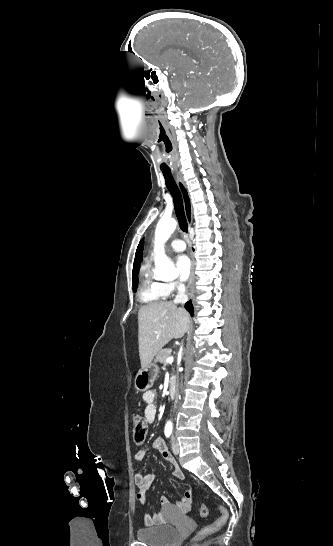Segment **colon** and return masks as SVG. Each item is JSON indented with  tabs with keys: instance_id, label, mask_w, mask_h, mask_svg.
Wrapping results in <instances>:
<instances>
[{
	"instance_id": "obj_1",
	"label": "colon",
	"mask_w": 333,
	"mask_h": 546,
	"mask_svg": "<svg viewBox=\"0 0 333 546\" xmlns=\"http://www.w3.org/2000/svg\"><path fill=\"white\" fill-rule=\"evenodd\" d=\"M132 435L133 440L136 445H142L146 440L147 435V423L144 418L138 416L134 419L132 425ZM220 516L212 524L204 527L197 535L198 538H203L209 536L220 529L228 520V511L223 507H218ZM199 514L201 517H206L208 515V507L206 504H202L199 509Z\"/></svg>"
}]
</instances>
